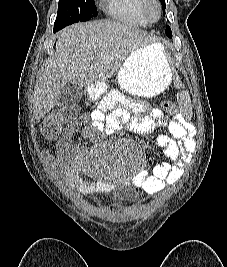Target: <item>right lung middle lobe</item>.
Returning a JSON list of instances; mask_svg holds the SVG:
<instances>
[{
    "instance_id": "dd1d6c3e",
    "label": "right lung middle lobe",
    "mask_w": 227,
    "mask_h": 267,
    "mask_svg": "<svg viewBox=\"0 0 227 267\" xmlns=\"http://www.w3.org/2000/svg\"><path fill=\"white\" fill-rule=\"evenodd\" d=\"M94 0H59L54 31L97 16Z\"/></svg>"
}]
</instances>
